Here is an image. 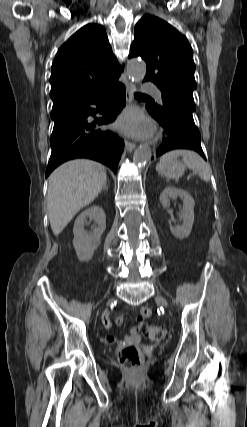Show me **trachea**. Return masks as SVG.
I'll use <instances>...</instances> for the list:
<instances>
[{
    "label": "trachea",
    "mask_w": 247,
    "mask_h": 427,
    "mask_svg": "<svg viewBox=\"0 0 247 427\" xmlns=\"http://www.w3.org/2000/svg\"><path fill=\"white\" fill-rule=\"evenodd\" d=\"M135 96H136V97H139V96H145V95H143V94H139V93H135Z\"/></svg>",
    "instance_id": "obj_1"
}]
</instances>
